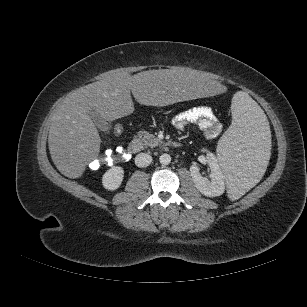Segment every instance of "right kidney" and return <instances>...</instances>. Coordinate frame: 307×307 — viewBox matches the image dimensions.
Segmentation results:
<instances>
[{
  "mask_svg": "<svg viewBox=\"0 0 307 307\" xmlns=\"http://www.w3.org/2000/svg\"><path fill=\"white\" fill-rule=\"evenodd\" d=\"M124 177L122 167L114 166L107 170L102 177V184L105 189L113 191L120 187Z\"/></svg>",
  "mask_w": 307,
  "mask_h": 307,
  "instance_id": "right-kidney-1",
  "label": "right kidney"
}]
</instances>
